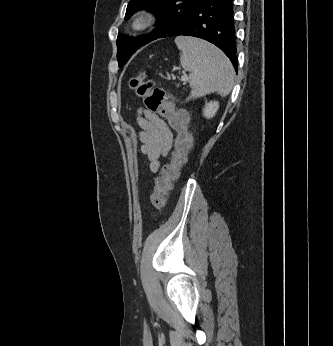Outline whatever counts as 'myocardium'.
Here are the masks:
<instances>
[{"label":"myocardium","instance_id":"f54148a6","mask_svg":"<svg viewBox=\"0 0 333 346\" xmlns=\"http://www.w3.org/2000/svg\"><path fill=\"white\" fill-rule=\"evenodd\" d=\"M155 19V15L150 10L138 12L132 19L130 28L134 32H141L149 28Z\"/></svg>","mask_w":333,"mask_h":346}]
</instances>
